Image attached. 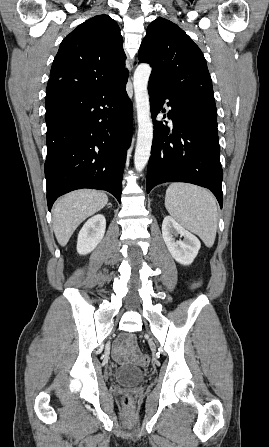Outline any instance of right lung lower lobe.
Segmentation results:
<instances>
[{"instance_id": "1", "label": "right lung lower lobe", "mask_w": 269, "mask_h": 447, "mask_svg": "<svg viewBox=\"0 0 269 447\" xmlns=\"http://www.w3.org/2000/svg\"><path fill=\"white\" fill-rule=\"evenodd\" d=\"M128 75L93 89L46 97L48 208L69 191L93 188L120 202L126 152L132 138Z\"/></svg>"}]
</instances>
